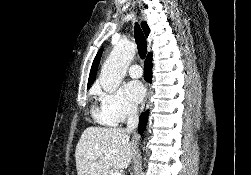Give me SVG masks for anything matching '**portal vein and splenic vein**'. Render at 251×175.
I'll return each mask as SVG.
<instances>
[{"instance_id":"portal-vein-and-splenic-vein-1","label":"portal vein and splenic vein","mask_w":251,"mask_h":175,"mask_svg":"<svg viewBox=\"0 0 251 175\" xmlns=\"http://www.w3.org/2000/svg\"><path fill=\"white\" fill-rule=\"evenodd\" d=\"M110 175H122V173H120V171H113V173H110Z\"/></svg>"}]
</instances>
